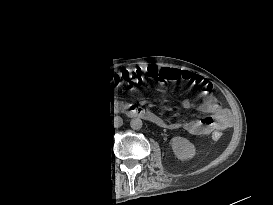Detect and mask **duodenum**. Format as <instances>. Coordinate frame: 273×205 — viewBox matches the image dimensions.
Instances as JSON below:
<instances>
[{"instance_id": "1", "label": "duodenum", "mask_w": 273, "mask_h": 205, "mask_svg": "<svg viewBox=\"0 0 273 205\" xmlns=\"http://www.w3.org/2000/svg\"><path fill=\"white\" fill-rule=\"evenodd\" d=\"M114 110L119 111L120 109L115 108ZM121 111L124 113L125 116L129 118L140 117V118L150 119L153 121H156L158 119L157 115L152 113L151 111L144 108L135 107V106L123 107Z\"/></svg>"}]
</instances>
